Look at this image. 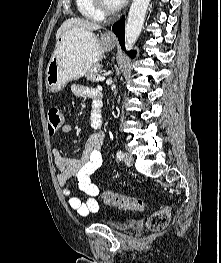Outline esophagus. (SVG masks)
Instances as JSON below:
<instances>
[{
	"label": "esophagus",
	"instance_id": "34e87169",
	"mask_svg": "<svg viewBox=\"0 0 221 263\" xmlns=\"http://www.w3.org/2000/svg\"><path fill=\"white\" fill-rule=\"evenodd\" d=\"M107 35H108L109 37H111V38H114V37H115L114 34L111 33V32H108Z\"/></svg>",
	"mask_w": 221,
	"mask_h": 263
}]
</instances>
